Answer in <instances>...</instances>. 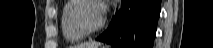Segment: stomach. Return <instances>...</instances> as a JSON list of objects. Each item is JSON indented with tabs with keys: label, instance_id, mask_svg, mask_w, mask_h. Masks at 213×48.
<instances>
[{
	"label": "stomach",
	"instance_id": "obj_1",
	"mask_svg": "<svg viewBox=\"0 0 213 48\" xmlns=\"http://www.w3.org/2000/svg\"><path fill=\"white\" fill-rule=\"evenodd\" d=\"M99 48H108L107 46H101V47H99Z\"/></svg>",
	"mask_w": 213,
	"mask_h": 48
}]
</instances>
